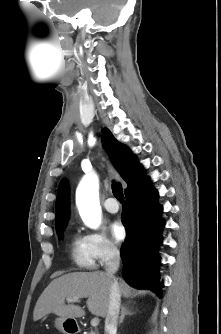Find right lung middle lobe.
<instances>
[{"mask_svg": "<svg viewBox=\"0 0 221 334\" xmlns=\"http://www.w3.org/2000/svg\"><path fill=\"white\" fill-rule=\"evenodd\" d=\"M64 229H65V227H64V228H61V229H59V230H56L57 233L59 234V236H58L59 239H62V232H63Z\"/></svg>", "mask_w": 221, "mask_h": 334, "instance_id": "obj_1", "label": "right lung middle lobe"}]
</instances>
